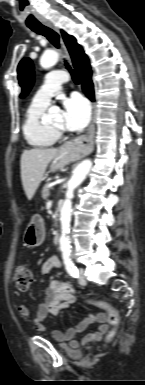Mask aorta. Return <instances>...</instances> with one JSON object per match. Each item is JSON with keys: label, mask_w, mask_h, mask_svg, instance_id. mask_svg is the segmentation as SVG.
Here are the masks:
<instances>
[{"label": "aorta", "mask_w": 145, "mask_h": 385, "mask_svg": "<svg viewBox=\"0 0 145 385\" xmlns=\"http://www.w3.org/2000/svg\"><path fill=\"white\" fill-rule=\"evenodd\" d=\"M58 53L54 50L46 51L41 59L40 65L48 69L54 66L58 61ZM55 108H52L50 111H55ZM92 167V162L89 159L83 160L78 164L70 180L67 183L66 198L62 205L60 211V222H61V236H60V249L63 252L70 250V222H71V212H72V199L74 197V190L83 182L89 173Z\"/></svg>", "instance_id": "1"}]
</instances>
